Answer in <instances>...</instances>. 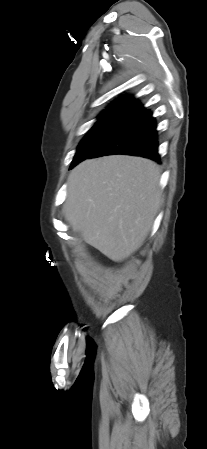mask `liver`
Returning a JSON list of instances; mask_svg holds the SVG:
<instances>
[{"mask_svg": "<svg viewBox=\"0 0 207 449\" xmlns=\"http://www.w3.org/2000/svg\"><path fill=\"white\" fill-rule=\"evenodd\" d=\"M158 165L113 155L88 159L68 177L66 220L85 241L115 262L128 258L147 237L161 204Z\"/></svg>", "mask_w": 207, "mask_h": 449, "instance_id": "6515ba94", "label": "liver"}]
</instances>
